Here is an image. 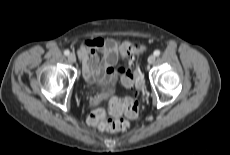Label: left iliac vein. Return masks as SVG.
<instances>
[{
    "instance_id": "left-iliac-vein-1",
    "label": "left iliac vein",
    "mask_w": 230,
    "mask_h": 155,
    "mask_svg": "<svg viewBox=\"0 0 230 155\" xmlns=\"http://www.w3.org/2000/svg\"><path fill=\"white\" fill-rule=\"evenodd\" d=\"M155 60H156V57L154 55H150L148 57V63L149 64H153L155 62Z\"/></svg>"
}]
</instances>
